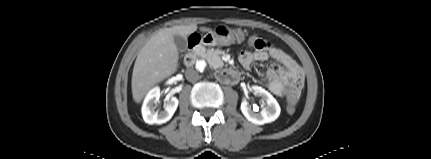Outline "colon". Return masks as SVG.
<instances>
[{"label":"colon","mask_w":431,"mask_h":159,"mask_svg":"<svg viewBox=\"0 0 431 159\" xmlns=\"http://www.w3.org/2000/svg\"><path fill=\"white\" fill-rule=\"evenodd\" d=\"M194 40V39H192ZM256 42V37L255 36H250L249 40H246V48H251L255 45ZM289 95H285V99H288ZM293 98V97H292ZM290 99H288L289 101ZM296 105L294 107H291L289 104H287V111L289 113H293L295 111Z\"/></svg>","instance_id":"colon-1"}]
</instances>
